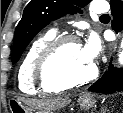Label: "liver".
I'll return each mask as SVG.
<instances>
[{
    "instance_id": "6515ba94",
    "label": "liver",
    "mask_w": 123,
    "mask_h": 113,
    "mask_svg": "<svg viewBox=\"0 0 123 113\" xmlns=\"http://www.w3.org/2000/svg\"><path fill=\"white\" fill-rule=\"evenodd\" d=\"M18 100H21L26 104L35 107L44 113H49L50 111L62 108L66 106L68 103H70L69 97L57 98L49 101H32L29 99H21V98H19Z\"/></svg>"
}]
</instances>
